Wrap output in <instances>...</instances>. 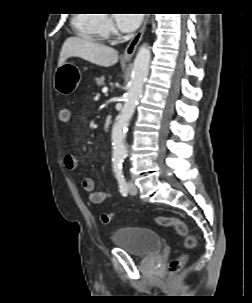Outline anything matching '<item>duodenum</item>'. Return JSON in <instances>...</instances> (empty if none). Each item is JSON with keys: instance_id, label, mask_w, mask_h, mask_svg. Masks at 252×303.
Here are the masks:
<instances>
[{"instance_id": "duodenum-1", "label": "duodenum", "mask_w": 252, "mask_h": 303, "mask_svg": "<svg viewBox=\"0 0 252 303\" xmlns=\"http://www.w3.org/2000/svg\"><path fill=\"white\" fill-rule=\"evenodd\" d=\"M111 120H112V117L111 115H107V117L105 118L103 124H102V129L104 131L108 130L110 125H111Z\"/></svg>"}]
</instances>
